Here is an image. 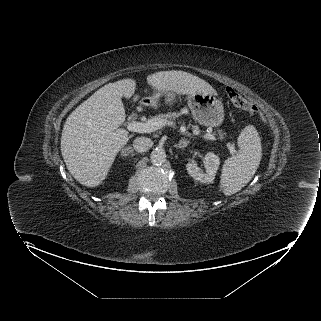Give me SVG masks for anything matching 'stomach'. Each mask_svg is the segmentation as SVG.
Instances as JSON below:
<instances>
[{"instance_id":"1","label":"stomach","mask_w":321,"mask_h":321,"mask_svg":"<svg viewBox=\"0 0 321 321\" xmlns=\"http://www.w3.org/2000/svg\"><path fill=\"white\" fill-rule=\"evenodd\" d=\"M177 93H157L147 98L151 106H157L162 99L166 103H173ZM188 106L192 112L194 119L201 125L207 127H218L224 120V107L222 101L215 94L196 93L187 97Z\"/></svg>"}]
</instances>
